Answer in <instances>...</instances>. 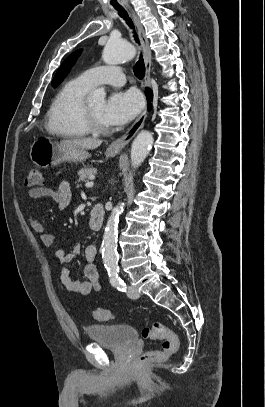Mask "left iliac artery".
Wrapping results in <instances>:
<instances>
[{"label": "left iliac artery", "instance_id": "44dca946", "mask_svg": "<svg viewBox=\"0 0 265 407\" xmlns=\"http://www.w3.org/2000/svg\"><path fill=\"white\" fill-rule=\"evenodd\" d=\"M110 283L114 287H116L119 291L126 292V289H127L126 284L124 283V281L121 278H119L117 276L114 278H111Z\"/></svg>", "mask_w": 265, "mask_h": 407}]
</instances>
